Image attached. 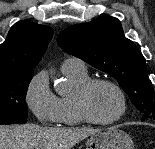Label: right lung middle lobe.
I'll return each instance as SVG.
<instances>
[{
  "mask_svg": "<svg viewBox=\"0 0 155 149\" xmlns=\"http://www.w3.org/2000/svg\"><path fill=\"white\" fill-rule=\"evenodd\" d=\"M33 72L0 77V124L27 122L26 92Z\"/></svg>",
  "mask_w": 155,
  "mask_h": 149,
  "instance_id": "1",
  "label": "right lung middle lobe"
}]
</instances>
